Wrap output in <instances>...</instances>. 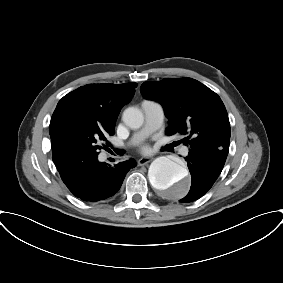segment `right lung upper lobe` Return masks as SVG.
<instances>
[{"mask_svg":"<svg viewBox=\"0 0 283 283\" xmlns=\"http://www.w3.org/2000/svg\"><path fill=\"white\" fill-rule=\"evenodd\" d=\"M137 83L88 84L65 95L58 103L51 118L49 133L52 145V159L57 168L63 163L57 161V152L62 144V124L69 113L95 120L102 127L114 131L121 108L134 96Z\"/></svg>","mask_w":283,"mask_h":283,"instance_id":"cb5924a9","label":"right lung upper lobe"}]
</instances>
